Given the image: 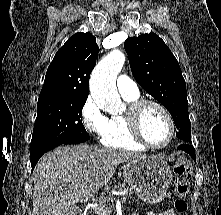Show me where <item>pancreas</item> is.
Wrapping results in <instances>:
<instances>
[{"mask_svg":"<svg viewBox=\"0 0 221 215\" xmlns=\"http://www.w3.org/2000/svg\"><path fill=\"white\" fill-rule=\"evenodd\" d=\"M119 190H126V191H129V194L127 195V199H130V200H135L134 197H133V194H132V189L129 188L128 186H126L125 184H120L118 186ZM112 198L111 196H105V194L101 195L100 198H99V205L98 206H104L105 207V204L106 202H109L111 201ZM98 215L96 212H95V209L92 208L91 209V215ZM106 215H110L109 212L106 214Z\"/></svg>","mask_w":221,"mask_h":215,"instance_id":"obj_1","label":"pancreas"}]
</instances>
